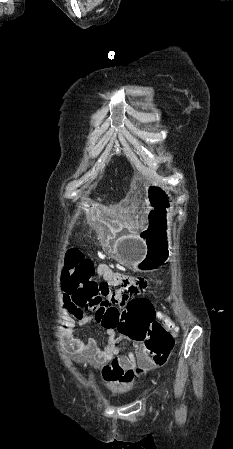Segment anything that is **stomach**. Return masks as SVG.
I'll use <instances>...</instances> for the list:
<instances>
[{"label": "stomach", "instance_id": "1", "mask_svg": "<svg viewBox=\"0 0 233 449\" xmlns=\"http://www.w3.org/2000/svg\"><path fill=\"white\" fill-rule=\"evenodd\" d=\"M151 208L147 226L139 212H102L86 208L91 225L103 230L105 252L136 272H152L167 262L171 254V213L167 194L159 187L148 189ZM110 210H130V201H110ZM135 232H142L135 234Z\"/></svg>", "mask_w": 233, "mask_h": 449}]
</instances>
